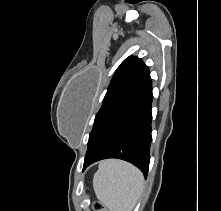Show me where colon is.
Masks as SVG:
<instances>
[{
	"label": "colon",
	"instance_id": "1",
	"mask_svg": "<svg viewBox=\"0 0 221 211\" xmlns=\"http://www.w3.org/2000/svg\"><path fill=\"white\" fill-rule=\"evenodd\" d=\"M93 209H94V211H107L105 209V207L101 203H99V202H95L94 203Z\"/></svg>",
	"mask_w": 221,
	"mask_h": 211
}]
</instances>
